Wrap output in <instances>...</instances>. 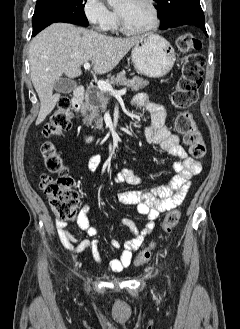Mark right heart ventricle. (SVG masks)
Returning <instances> with one entry per match:
<instances>
[{"label": "right heart ventricle", "instance_id": "obj_1", "mask_svg": "<svg viewBox=\"0 0 240 329\" xmlns=\"http://www.w3.org/2000/svg\"><path fill=\"white\" fill-rule=\"evenodd\" d=\"M116 26H117V25H116V22H115V23H114V25H113V27H112V29H115V28H116Z\"/></svg>", "mask_w": 240, "mask_h": 329}]
</instances>
